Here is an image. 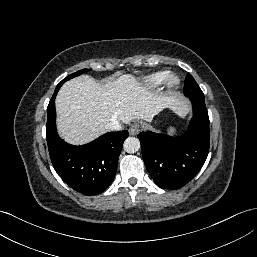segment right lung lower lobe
I'll use <instances>...</instances> for the list:
<instances>
[{
	"label": "right lung lower lobe",
	"instance_id": "1",
	"mask_svg": "<svg viewBox=\"0 0 257 257\" xmlns=\"http://www.w3.org/2000/svg\"><path fill=\"white\" fill-rule=\"evenodd\" d=\"M55 92L47 107L46 139L51 162L62 180L85 195L102 193L111 184L128 131L108 132L94 141L73 146L63 141L56 130Z\"/></svg>",
	"mask_w": 257,
	"mask_h": 257
}]
</instances>
